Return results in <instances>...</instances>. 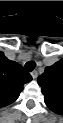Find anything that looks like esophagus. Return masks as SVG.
<instances>
[{"label": "esophagus", "mask_w": 63, "mask_h": 123, "mask_svg": "<svg viewBox=\"0 0 63 123\" xmlns=\"http://www.w3.org/2000/svg\"><path fill=\"white\" fill-rule=\"evenodd\" d=\"M31 76L35 79L38 77V72L36 70L31 72Z\"/></svg>", "instance_id": "1"}]
</instances>
